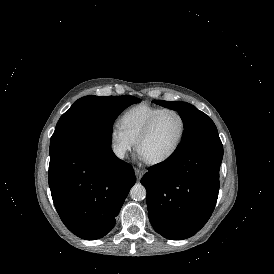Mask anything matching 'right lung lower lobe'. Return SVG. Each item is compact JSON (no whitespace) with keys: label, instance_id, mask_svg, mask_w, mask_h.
Listing matches in <instances>:
<instances>
[{"label":"right lung lower lobe","instance_id":"obj_1","mask_svg":"<svg viewBox=\"0 0 274 274\" xmlns=\"http://www.w3.org/2000/svg\"><path fill=\"white\" fill-rule=\"evenodd\" d=\"M49 186L66 227L86 240L105 236L115 225L136 182L132 166L118 159L111 140L93 138L50 157Z\"/></svg>","mask_w":274,"mask_h":274}]
</instances>
